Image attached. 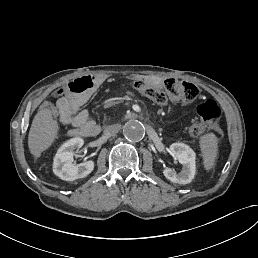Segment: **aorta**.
Listing matches in <instances>:
<instances>
[{
  "label": "aorta",
  "instance_id": "aorta-1",
  "mask_svg": "<svg viewBox=\"0 0 258 258\" xmlns=\"http://www.w3.org/2000/svg\"><path fill=\"white\" fill-rule=\"evenodd\" d=\"M123 134L127 140L139 142L144 138L145 129L141 122L130 120L124 125Z\"/></svg>",
  "mask_w": 258,
  "mask_h": 258
}]
</instances>
